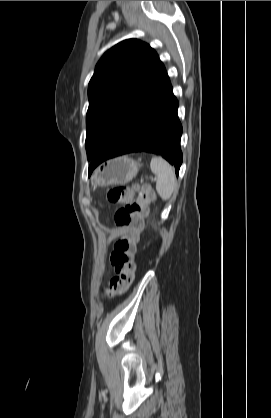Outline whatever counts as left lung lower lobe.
Here are the masks:
<instances>
[{"label": "left lung lower lobe", "instance_id": "1", "mask_svg": "<svg viewBox=\"0 0 271 418\" xmlns=\"http://www.w3.org/2000/svg\"><path fill=\"white\" fill-rule=\"evenodd\" d=\"M177 108L178 101L164 69L92 159L89 175L105 160L142 151L161 155L178 175L183 155Z\"/></svg>", "mask_w": 271, "mask_h": 418}]
</instances>
